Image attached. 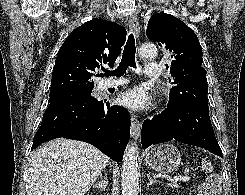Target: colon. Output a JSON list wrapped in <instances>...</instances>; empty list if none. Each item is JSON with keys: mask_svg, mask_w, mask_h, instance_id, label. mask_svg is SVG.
<instances>
[{"mask_svg": "<svg viewBox=\"0 0 245 195\" xmlns=\"http://www.w3.org/2000/svg\"><path fill=\"white\" fill-rule=\"evenodd\" d=\"M221 188L220 180L215 176H206L199 185V195H219Z\"/></svg>", "mask_w": 245, "mask_h": 195, "instance_id": "5ec220e1", "label": "colon"}]
</instances>
